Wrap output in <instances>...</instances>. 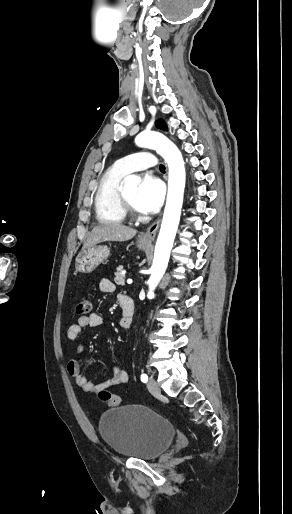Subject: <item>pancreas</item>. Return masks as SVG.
<instances>
[{"mask_svg":"<svg viewBox=\"0 0 292 514\" xmlns=\"http://www.w3.org/2000/svg\"><path fill=\"white\" fill-rule=\"evenodd\" d=\"M122 272H124L123 266H119V268H117V272L114 274V282L115 284H118V286H125V278Z\"/></svg>","mask_w":292,"mask_h":514,"instance_id":"pancreas-1","label":"pancreas"}]
</instances>
